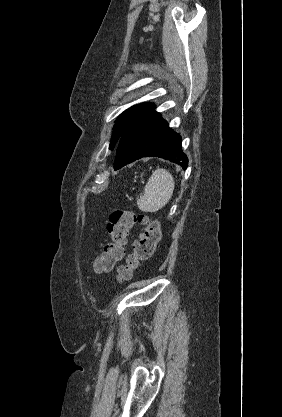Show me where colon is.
Returning <instances> with one entry per match:
<instances>
[{
    "instance_id": "obj_1",
    "label": "colon",
    "mask_w": 282,
    "mask_h": 417,
    "mask_svg": "<svg viewBox=\"0 0 282 417\" xmlns=\"http://www.w3.org/2000/svg\"><path fill=\"white\" fill-rule=\"evenodd\" d=\"M135 225H140L143 228V235L135 240L133 253L126 259L125 264L119 267L117 279L119 281L129 280L132 273L141 264L152 259L161 240L160 223L143 213L115 209L107 224L109 241L105 250L94 260L96 271L101 273L111 271L115 264L123 258L124 246Z\"/></svg>"
}]
</instances>
